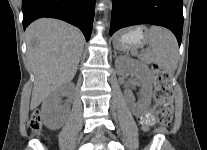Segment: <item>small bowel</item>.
I'll return each instance as SVG.
<instances>
[{"label":"small bowel","mask_w":207,"mask_h":150,"mask_svg":"<svg viewBox=\"0 0 207 150\" xmlns=\"http://www.w3.org/2000/svg\"><path fill=\"white\" fill-rule=\"evenodd\" d=\"M139 120L143 129H147L150 125H152L154 117L152 112H146L145 114L139 117Z\"/></svg>","instance_id":"small-bowel-1"}]
</instances>
